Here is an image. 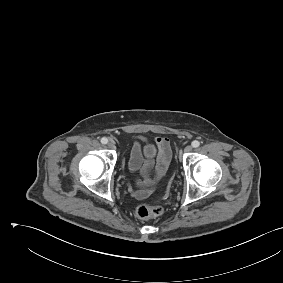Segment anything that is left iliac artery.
Segmentation results:
<instances>
[{
    "label": "left iliac artery",
    "mask_w": 283,
    "mask_h": 283,
    "mask_svg": "<svg viewBox=\"0 0 283 283\" xmlns=\"http://www.w3.org/2000/svg\"><path fill=\"white\" fill-rule=\"evenodd\" d=\"M199 145H200V142L197 141V140H194V141L192 142V146H193L194 148L199 147Z\"/></svg>",
    "instance_id": "left-iliac-artery-1"
}]
</instances>
